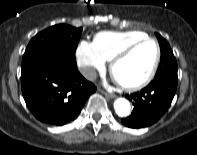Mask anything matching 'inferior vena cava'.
Masks as SVG:
<instances>
[{"mask_svg":"<svg viewBox=\"0 0 197 155\" xmlns=\"http://www.w3.org/2000/svg\"><path fill=\"white\" fill-rule=\"evenodd\" d=\"M80 73L89 80H94L96 78V71L92 67H81Z\"/></svg>","mask_w":197,"mask_h":155,"instance_id":"1","label":"inferior vena cava"}]
</instances>
